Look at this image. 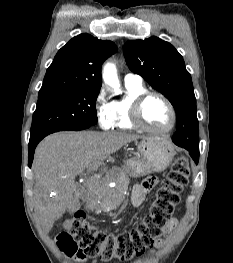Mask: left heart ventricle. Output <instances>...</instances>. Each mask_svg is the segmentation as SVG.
I'll use <instances>...</instances> for the list:
<instances>
[{
	"instance_id": "1",
	"label": "left heart ventricle",
	"mask_w": 233,
	"mask_h": 263,
	"mask_svg": "<svg viewBox=\"0 0 233 263\" xmlns=\"http://www.w3.org/2000/svg\"><path fill=\"white\" fill-rule=\"evenodd\" d=\"M146 123L156 129L166 128L171 122V114L166 104L158 97L149 98L143 106Z\"/></svg>"
}]
</instances>
